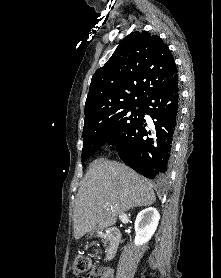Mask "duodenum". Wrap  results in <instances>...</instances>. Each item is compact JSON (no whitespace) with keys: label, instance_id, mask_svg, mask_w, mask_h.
Listing matches in <instances>:
<instances>
[{"label":"duodenum","instance_id":"1","mask_svg":"<svg viewBox=\"0 0 221 278\" xmlns=\"http://www.w3.org/2000/svg\"><path fill=\"white\" fill-rule=\"evenodd\" d=\"M101 237L109 241V247L105 254V260L110 261L116 254L120 243V232L116 228H107L101 232Z\"/></svg>","mask_w":221,"mask_h":278}]
</instances>
